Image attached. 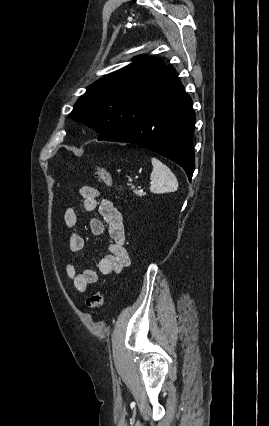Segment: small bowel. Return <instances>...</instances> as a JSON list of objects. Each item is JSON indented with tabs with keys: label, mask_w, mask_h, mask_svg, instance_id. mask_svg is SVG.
Returning <instances> with one entry per match:
<instances>
[{
	"label": "small bowel",
	"mask_w": 269,
	"mask_h": 426,
	"mask_svg": "<svg viewBox=\"0 0 269 426\" xmlns=\"http://www.w3.org/2000/svg\"><path fill=\"white\" fill-rule=\"evenodd\" d=\"M79 194L82 198L83 209L87 212L97 209L100 216L90 220L89 226L92 235L101 236L107 230L110 238L109 252L98 262L99 272L104 275L120 273L130 262L125 247V227L121 213L95 187L83 186L80 188ZM78 220V214L74 209L68 208L64 211L63 221L67 227L75 228ZM83 247L84 238L82 235L78 232L72 233L69 239L70 252L78 254ZM65 271L68 279L79 293H84L90 285H94L98 281V274L94 269L79 270L74 259L67 262Z\"/></svg>",
	"instance_id": "c3829d8e"
}]
</instances>
